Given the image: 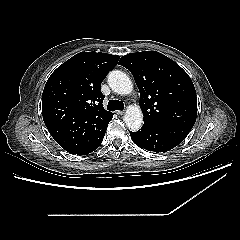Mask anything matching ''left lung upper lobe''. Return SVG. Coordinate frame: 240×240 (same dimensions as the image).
I'll return each instance as SVG.
<instances>
[{
	"instance_id": "obj_1",
	"label": "left lung upper lobe",
	"mask_w": 240,
	"mask_h": 240,
	"mask_svg": "<svg viewBox=\"0 0 240 240\" xmlns=\"http://www.w3.org/2000/svg\"><path fill=\"white\" fill-rule=\"evenodd\" d=\"M119 64L130 70L140 91L144 125H194L196 91L191 78L173 60L156 51L123 56Z\"/></svg>"
}]
</instances>
